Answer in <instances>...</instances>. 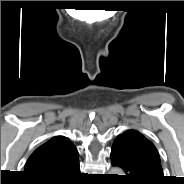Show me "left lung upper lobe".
<instances>
[{"label":"left lung upper lobe","mask_w":184,"mask_h":184,"mask_svg":"<svg viewBox=\"0 0 184 184\" xmlns=\"http://www.w3.org/2000/svg\"><path fill=\"white\" fill-rule=\"evenodd\" d=\"M113 145L124 148L132 156L149 165L160 178L164 179L157 149L139 131L127 130L115 139Z\"/></svg>","instance_id":"obj_1"}]
</instances>
